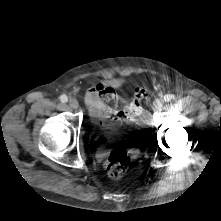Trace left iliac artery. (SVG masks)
Returning a JSON list of instances; mask_svg holds the SVG:
<instances>
[{
	"label": "left iliac artery",
	"mask_w": 221,
	"mask_h": 221,
	"mask_svg": "<svg viewBox=\"0 0 221 221\" xmlns=\"http://www.w3.org/2000/svg\"><path fill=\"white\" fill-rule=\"evenodd\" d=\"M173 99H175V95H173V94H167V95L164 96V101L165 102H169Z\"/></svg>",
	"instance_id": "left-iliac-artery-1"
}]
</instances>
